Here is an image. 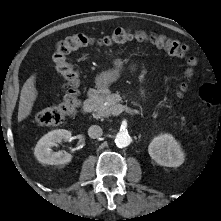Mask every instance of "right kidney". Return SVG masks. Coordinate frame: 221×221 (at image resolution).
Instances as JSON below:
<instances>
[{
    "label": "right kidney",
    "mask_w": 221,
    "mask_h": 221,
    "mask_svg": "<svg viewBox=\"0 0 221 221\" xmlns=\"http://www.w3.org/2000/svg\"><path fill=\"white\" fill-rule=\"evenodd\" d=\"M71 132L65 129H58L48 132L38 142L34 155L40 163L49 165L67 164L72 160V155L67 152H53L51 147L62 140L71 139Z\"/></svg>",
    "instance_id": "1"
}]
</instances>
